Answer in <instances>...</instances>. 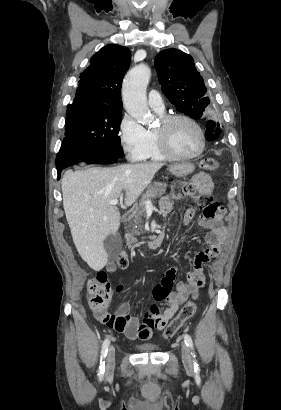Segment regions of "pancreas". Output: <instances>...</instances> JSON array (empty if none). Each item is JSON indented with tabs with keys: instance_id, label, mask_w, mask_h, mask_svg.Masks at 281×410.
<instances>
[{
	"instance_id": "pancreas-1",
	"label": "pancreas",
	"mask_w": 281,
	"mask_h": 410,
	"mask_svg": "<svg viewBox=\"0 0 281 410\" xmlns=\"http://www.w3.org/2000/svg\"><path fill=\"white\" fill-rule=\"evenodd\" d=\"M167 184L164 182H154L148 186L146 192L142 195L141 202L135 206L133 220L131 222L132 228L125 235L127 244L130 245L137 241L136 235H140L143 232V222L146 215V206L144 202L146 200L155 199L165 194Z\"/></svg>"
}]
</instances>
